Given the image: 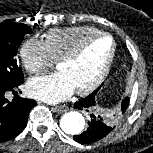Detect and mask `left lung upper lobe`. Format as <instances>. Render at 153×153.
Segmentation results:
<instances>
[{
	"instance_id": "5c2ea615",
	"label": "left lung upper lobe",
	"mask_w": 153,
	"mask_h": 153,
	"mask_svg": "<svg viewBox=\"0 0 153 153\" xmlns=\"http://www.w3.org/2000/svg\"><path fill=\"white\" fill-rule=\"evenodd\" d=\"M100 88H98L97 90H95L92 94H97ZM96 96V95H95ZM129 98L126 97L123 101H122V107L121 109H115L109 112L108 115L104 116L105 119L107 120L108 124H110L111 126L114 127V125L119 121V118L121 117V115L125 112V108L124 105H128L129 104Z\"/></svg>"
}]
</instances>
